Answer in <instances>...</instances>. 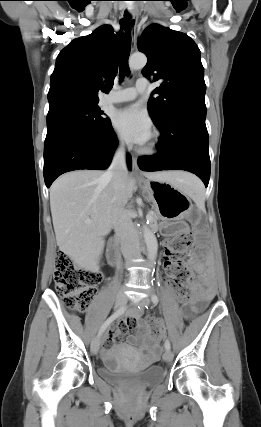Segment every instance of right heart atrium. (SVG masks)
Segmentation results:
<instances>
[{
	"instance_id": "right-heart-atrium-1",
	"label": "right heart atrium",
	"mask_w": 261,
	"mask_h": 427,
	"mask_svg": "<svg viewBox=\"0 0 261 427\" xmlns=\"http://www.w3.org/2000/svg\"><path fill=\"white\" fill-rule=\"evenodd\" d=\"M116 146L119 150L124 148L123 140L119 135H116Z\"/></svg>"
}]
</instances>
